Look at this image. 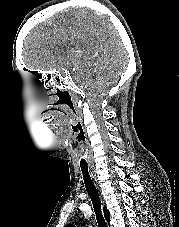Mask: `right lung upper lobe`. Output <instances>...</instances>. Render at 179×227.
Segmentation results:
<instances>
[{"instance_id": "obj_1", "label": "right lung upper lobe", "mask_w": 179, "mask_h": 227, "mask_svg": "<svg viewBox=\"0 0 179 227\" xmlns=\"http://www.w3.org/2000/svg\"><path fill=\"white\" fill-rule=\"evenodd\" d=\"M104 214H105L106 220L109 222V220H110V212L107 210L106 206L104 207ZM65 227H72V225L71 224H67Z\"/></svg>"}]
</instances>
